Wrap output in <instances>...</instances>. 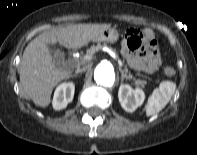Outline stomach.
Masks as SVG:
<instances>
[{
    "instance_id": "0dacf381",
    "label": "stomach",
    "mask_w": 197,
    "mask_h": 155,
    "mask_svg": "<svg viewBox=\"0 0 197 155\" xmlns=\"http://www.w3.org/2000/svg\"><path fill=\"white\" fill-rule=\"evenodd\" d=\"M119 38V32L114 28H107L97 35L93 41L114 43Z\"/></svg>"
}]
</instances>
